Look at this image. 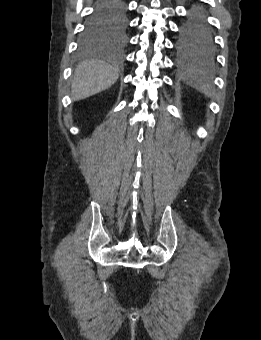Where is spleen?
Listing matches in <instances>:
<instances>
[{"label": "spleen", "mask_w": 261, "mask_h": 340, "mask_svg": "<svg viewBox=\"0 0 261 340\" xmlns=\"http://www.w3.org/2000/svg\"><path fill=\"white\" fill-rule=\"evenodd\" d=\"M189 84L198 89L205 96L210 97L212 95V88L208 83H203L201 75L198 71H190L187 77Z\"/></svg>", "instance_id": "spleen-1"}]
</instances>
